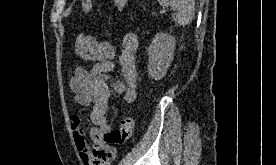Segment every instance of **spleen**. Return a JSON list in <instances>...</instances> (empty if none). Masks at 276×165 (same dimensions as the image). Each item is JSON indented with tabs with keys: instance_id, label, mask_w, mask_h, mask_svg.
Here are the masks:
<instances>
[{
	"instance_id": "obj_1",
	"label": "spleen",
	"mask_w": 276,
	"mask_h": 165,
	"mask_svg": "<svg viewBox=\"0 0 276 165\" xmlns=\"http://www.w3.org/2000/svg\"><path fill=\"white\" fill-rule=\"evenodd\" d=\"M161 5H170L177 13L172 15L177 25L185 26L191 23L194 17L195 0H158Z\"/></svg>"
}]
</instances>
